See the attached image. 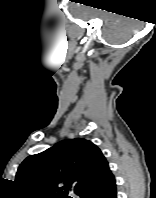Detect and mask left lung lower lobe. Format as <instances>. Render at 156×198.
Masks as SVG:
<instances>
[{
  "instance_id": "0a47b994",
  "label": "left lung lower lobe",
  "mask_w": 156,
  "mask_h": 198,
  "mask_svg": "<svg viewBox=\"0 0 156 198\" xmlns=\"http://www.w3.org/2000/svg\"><path fill=\"white\" fill-rule=\"evenodd\" d=\"M80 198H117L116 181L111 171L93 188L85 191Z\"/></svg>"
}]
</instances>
